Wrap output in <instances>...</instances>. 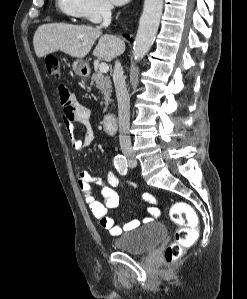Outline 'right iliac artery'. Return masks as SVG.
<instances>
[{
    "label": "right iliac artery",
    "mask_w": 247,
    "mask_h": 299,
    "mask_svg": "<svg viewBox=\"0 0 247 299\" xmlns=\"http://www.w3.org/2000/svg\"><path fill=\"white\" fill-rule=\"evenodd\" d=\"M114 164H115V168L118 170V172L121 175L127 174L128 164H127V160L124 156H122V155L115 156Z\"/></svg>",
    "instance_id": "right-iliac-artery-1"
}]
</instances>
